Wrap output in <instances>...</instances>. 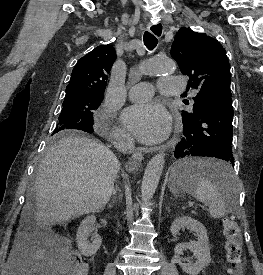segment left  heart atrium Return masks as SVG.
Listing matches in <instances>:
<instances>
[{"instance_id": "1", "label": "left heart atrium", "mask_w": 263, "mask_h": 275, "mask_svg": "<svg viewBox=\"0 0 263 275\" xmlns=\"http://www.w3.org/2000/svg\"><path fill=\"white\" fill-rule=\"evenodd\" d=\"M123 123L138 140L148 144L164 140L171 129L168 112L156 102H143L129 107L123 115Z\"/></svg>"}]
</instances>
